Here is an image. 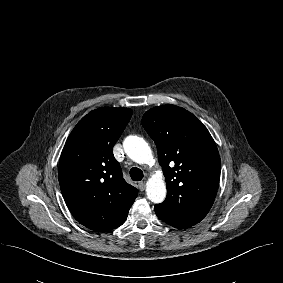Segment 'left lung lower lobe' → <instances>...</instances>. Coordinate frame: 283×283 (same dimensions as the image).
Returning <instances> with one entry per match:
<instances>
[{"label":"left lung lower lobe","mask_w":283,"mask_h":283,"mask_svg":"<svg viewBox=\"0 0 283 283\" xmlns=\"http://www.w3.org/2000/svg\"><path fill=\"white\" fill-rule=\"evenodd\" d=\"M164 222H166L167 224H169V225H171L173 227L180 228V229H185V228L190 227V226H186V225L173 224V223H170V222H167V221H164Z\"/></svg>","instance_id":"left-lung-lower-lobe-1"}]
</instances>
